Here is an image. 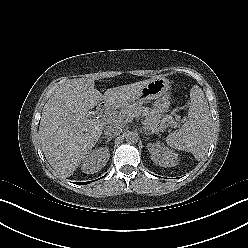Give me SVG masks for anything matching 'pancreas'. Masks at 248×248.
Here are the masks:
<instances>
[{"mask_svg":"<svg viewBox=\"0 0 248 248\" xmlns=\"http://www.w3.org/2000/svg\"><path fill=\"white\" fill-rule=\"evenodd\" d=\"M117 116L120 117V119H116L115 122H122L130 116L144 119L143 123L145 127L156 133L163 131L167 127L165 122L161 120V115L156 110L138 104L122 107ZM168 122L171 124L174 123L172 118H169Z\"/></svg>","mask_w":248,"mask_h":248,"instance_id":"pancreas-1","label":"pancreas"}]
</instances>
